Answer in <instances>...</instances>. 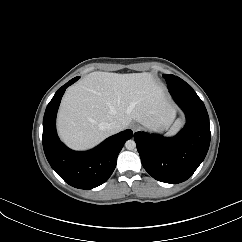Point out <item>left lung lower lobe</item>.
<instances>
[{
  "label": "left lung lower lobe",
  "mask_w": 242,
  "mask_h": 242,
  "mask_svg": "<svg viewBox=\"0 0 242 242\" xmlns=\"http://www.w3.org/2000/svg\"><path fill=\"white\" fill-rule=\"evenodd\" d=\"M186 115L185 127L174 137L136 132L134 140L145 170L156 180L177 184L187 180L204 160L210 145L209 117L193 89H169Z\"/></svg>",
  "instance_id": "1"
}]
</instances>
